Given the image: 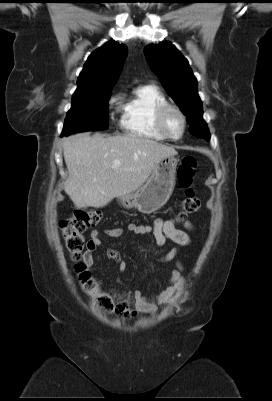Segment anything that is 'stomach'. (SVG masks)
<instances>
[{"mask_svg": "<svg viewBox=\"0 0 272 401\" xmlns=\"http://www.w3.org/2000/svg\"><path fill=\"white\" fill-rule=\"evenodd\" d=\"M177 164L178 159L174 155L162 158L139 190L121 198L122 206L136 208L144 214H151L163 207L175 186Z\"/></svg>", "mask_w": 272, "mask_h": 401, "instance_id": "1", "label": "stomach"}]
</instances>
